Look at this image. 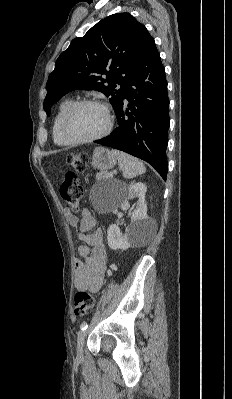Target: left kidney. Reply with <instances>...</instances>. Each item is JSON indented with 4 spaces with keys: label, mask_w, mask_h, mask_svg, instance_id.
I'll list each match as a JSON object with an SVG mask.
<instances>
[{
    "label": "left kidney",
    "mask_w": 232,
    "mask_h": 399,
    "mask_svg": "<svg viewBox=\"0 0 232 399\" xmlns=\"http://www.w3.org/2000/svg\"><path fill=\"white\" fill-rule=\"evenodd\" d=\"M146 190V184H142V182H132L130 186L123 184L120 188L122 209H129L128 200L138 198V201L136 209L132 211L131 221L127 225L125 233H121L120 227L116 223L109 225L107 239L111 249H127L130 245H139L140 241L147 239L152 219L147 215Z\"/></svg>",
    "instance_id": "5707ae66"
}]
</instances>
